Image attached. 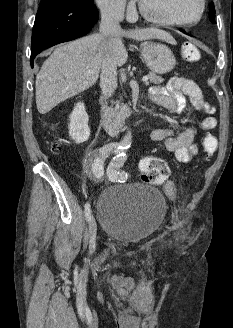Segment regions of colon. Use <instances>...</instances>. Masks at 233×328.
I'll return each instance as SVG.
<instances>
[{"mask_svg": "<svg viewBox=\"0 0 233 328\" xmlns=\"http://www.w3.org/2000/svg\"><path fill=\"white\" fill-rule=\"evenodd\" d=\"M183 56L188 61H197L200 58L199 50L191 43H186L183 46ZM62 144V139H56L52 143L54 149H59ZM203 148L206 158H211L217 148V140L213 135H207L203 141ZM142 172V180L150 184H161L165 182L169 175V167L160 158L145 157L140 162Z\"/></svg>", "mask_w": 233, "mask_h": 328, "instance_id": "5ec220e1", "label": "colon"}]
</instances>
